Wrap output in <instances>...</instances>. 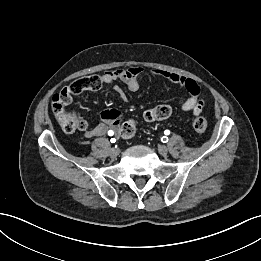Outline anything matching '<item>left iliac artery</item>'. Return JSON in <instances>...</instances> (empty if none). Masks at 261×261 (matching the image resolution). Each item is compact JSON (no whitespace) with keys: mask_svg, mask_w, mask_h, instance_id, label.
Returning <instances> with one entry per match:
<instances>
[{"mask_svg":"<svg viewBox=\"0 0 261 261\" xmlns=\"http://www.w3.org/2000/svg\"><path fill=\"white\" fill-rule=\"evenodd\" d=\"M164 133H165V135H169L170 131L169 130H165ZM162 142H164V143L168 142V137H166V136L162 137Z\"/></svg>","mask_w":261,"mask_h":261,"instance_id":"44dca946","label":"left iliac artery"}]
</instances>
